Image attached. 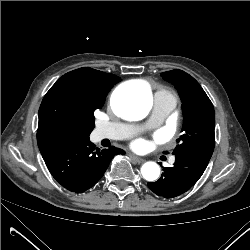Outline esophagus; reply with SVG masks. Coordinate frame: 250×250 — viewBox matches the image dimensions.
Returning a JSON list of instances; mask_svg holds the SVG:
<instances>
[{
    "label": "esophagus",
    "mask_w": 250,
    "mask_h": 250,
    "mask_svg": "<svg viewBox=\"0 0 250 250\" xmlns=\"http://www.w3.org/2000/svg\"><path fill=\"white\" fill-rule=\"evenodd\" d=\"M130 157H131V159H132L134 162H136V163H138V164L144 162V159H142V158H140V157H138V156H135V155H133V154H130Z\"/></svg>",
    "instance_id": "34e87169"
}]
</instances>
